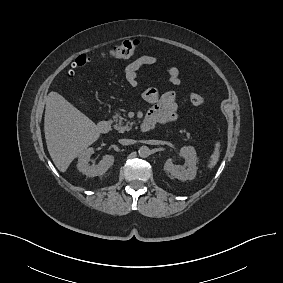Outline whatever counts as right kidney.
<instances>
[{
  "label": "right kidney",
  "mask_w": 283,
  "mask_h": 283,
  "mask_svg": "<svg viewBox=\"0 0 283 283\" xmlns=\"http://www.w3.org/2000/svg\"><path fill=\"white\" fill-rule=\"evenodd\" d=\"M94 154V149L92 147L85 149L78 158L77 168L80 172L86 176L95 177L105 174V172L113 165L114 156L105 155L98 165H90L89 159L91 155Z\"/></svg>",
  "instance_id": "right-kidney-1"
}]
</instances>
